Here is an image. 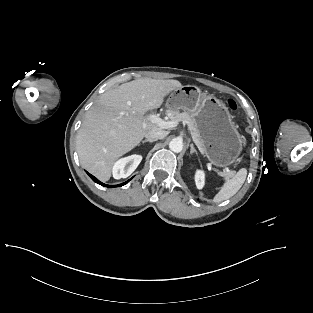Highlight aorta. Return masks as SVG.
I'll list each match as a JSON object with an SVG mask.
<instances>
[{"mask_svg":"<svg viewBox=\"0 0 313 313\" xmlns=\"http://www.w3.org/2000/svg\"><path fill=\"white\" fill-rule=\"evenodd\" d=\"M169 148L175 153H179L183 149V142L179 138H174L169 143Z\"/></svg>","mask_w":313,"mask_h":313,"instance_id":"762f6f07","label":"aorta"}]
</instances>
